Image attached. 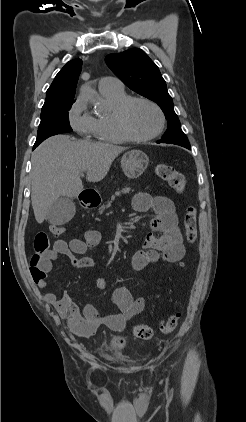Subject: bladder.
<instances>
[{
  "label": "bladder",
  "mask_w": 246,
  "mask_h": 422,
  "mask_svg": "<svg viewBox=\"0 0 246 422\" xmlns=\"http://www.w3.org/2000/svg\"><path fill=\"white\" fill-rule=\"evenodd\" d=\"M109 350L112 352L119 351L121 350V344L118 341H112Z\"/></svg>",
  "instance_id": "31cf9c89"
}]
</instances>
